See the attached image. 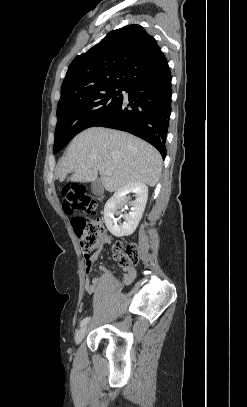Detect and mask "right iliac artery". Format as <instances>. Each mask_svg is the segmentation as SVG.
Masks as SVG:
<instances>
[{"mask_svg": "<svg viewBox=\"0 0 247 407\" xmlns=\"http://www.w3.org/2000/svg\"><path fill=\"white\" fill-rule=\"evenodd\" d=\"M90 320V317H86L84 318L81 323H80V327H83L84 325H86Z\"/></svg>", "mask_w": 247, "mask_h": 407, "instance_id": "1", "label": "right iliac artery"}]
</instances>
